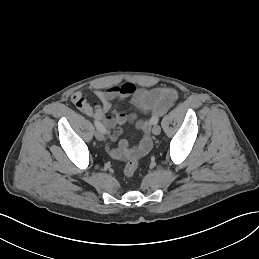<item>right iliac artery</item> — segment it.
<instances>
[{
  "instance_id": "1",
  "label": "right iliac artery",
  "mask_w": 259,
  "mask_h": 259,
  "mask_svg": "<svg viewBox=\"0 0 259 259\" xmlns=\"http://www.w3.org/2000/svg\"><path fill=\"white\" fill-rule=\"evenodd\" d=\"M94 124L98 130H100L102 133H106V128L103 126L101 122L95 120Z\"/></svg>"
}]
</instances>
